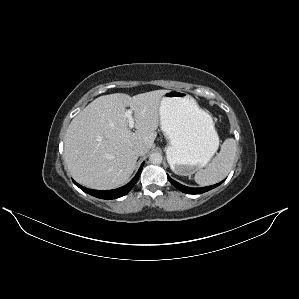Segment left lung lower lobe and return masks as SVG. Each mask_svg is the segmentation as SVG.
Listing matches in <instances>:
<instances>
[{"label": "left lung lower lobe", "instance_id": "left-lung-lower-lobe-1", "mask_svg": "<svg viewBox=\"0 0 299 299\" xmlns=\"http://www.w3.org/2000/svg\"><path fill=\"white\" fill-rule=\"evenodd\" d=\"M168 179L177 189H179L180 191L187 193V194H201V193L207 192V191L219 186L223 182L222 181L218 184L208 186V187H203V188H190V187L184 186V185L174 181L172 178H170L169 175H168Z\"/></svg>", "mask_w": 299, "mask_h": 299}]
</instances>
